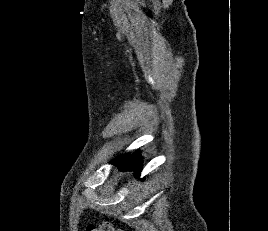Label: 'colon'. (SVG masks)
<instances>
[{"instance_id":"1","label":"colon","mask_w":268,"mask_h":231,"mask_svg":"<svg viewBox=\"0 0 268 231\" xmlns=\"http://www.w3.org/2000/svg\"><path fill=\"white\" fill-rule=\"evenodd\" d=\"M85 231H122V230H115L113 225L109 221H102L98 224L87 225Z\"/></svg>"}]
</instances>
